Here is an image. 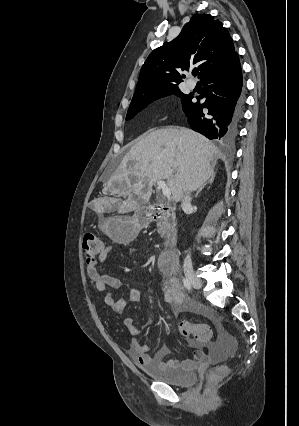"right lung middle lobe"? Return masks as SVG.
<instances>
[{
    "label": "right lung middle lobe",
    "instance_id": "obj_1",
    "mask_svg": "<svg viewBox=\"0 0 299 426\" xmlns=\"http://www.w3.org/2000/svg\"><path fill=\"white\" fill-rule=\"evenodd\" d=\"M172 94H175L176 96L181 97L183 108H185L191 102L192 95L183 94L178 87L169 88L160 92L146 95L143 98L131 101V104L129 106V109L126 115V120L133 118L137 113H139L142 109L147 107L154 100L164 96L172 95Z\"/></svg>",
    "mask_w": 299,
    "mask_h": 426
}]
</instances>
